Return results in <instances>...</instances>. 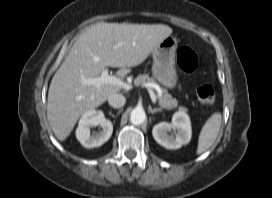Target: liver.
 Wrapping results in <instances>:
<instances>
[{
    "instance_id": "liver-1",
    "label": "liver",
    "mask_w": 272,
    "mask_h": 198,
    "mask_svg": "<svg viewBox=\"0 0 272 198\" xmlns=\"http://www.w3.org/2000/svg\"><path fill=\"white\" fill-rule=\"evenodd\" d=\"M171 34L172 29L163 24L104 22L83 32L54 74L48 91L47 118L57 139L64 141L81 115L121 89L110 84L99 88L83 85L82 77H98L110 66L120 68L116 74L123 79Z\"/></svg>"
}]
</instances>
